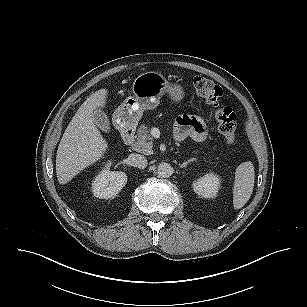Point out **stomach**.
<instances>
[{
  "label": "stomach",
  "mask_w": 307,
  "mask_h": 307,
  "mask_svg": "<svg viewBox=\"0 0 307 307\" xmlns=\"http://www.w3.org/2000/svg\"><path fill=\"white\" fill-rule=\"evenodd\" d=\"M133 96L127 97L113 113L114 125L122 130L135 127L144 110L155 109L163 94L175 102H181L185 96L180 84H172L158 72L150 71L140 74L132 84Z\"/></svg>",
  "instance_id": "obj_1"
}]
</instances>
